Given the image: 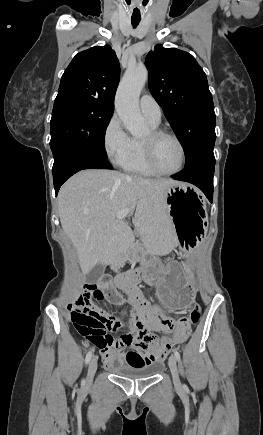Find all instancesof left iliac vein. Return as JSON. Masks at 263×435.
Here are the masks:
<instances>
[{"label": "left iliac vein", "instance_id": "4c4485c4", "mask_svg": "<svg viewBox=\"0 0 263 435\" xmlns=\"http://www.w3.org/2000/svg\"><path fill=\"white\" fill-rule=\"evenodd\" d=\"M169 368L171 370L175 386H180L181 383L178 375L177 361L175 356H171L169 358Z\"/></svg>", "mask_w": 263, "mask_h": 435}]
</instances>
